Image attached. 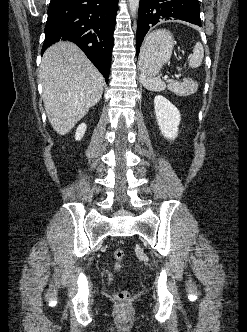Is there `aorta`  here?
Masks as SVG:
<instances>
[{"mask_svg": "<svg viewBox=\"0 0 247 332\" xmlns=\"http://www.w3.org/2000/svg\"><path fill=\"white\" fill-rule=\"evenodd\" d=\"M140 0H128L129 10L132 16H135L139 8Z\"/></svg>", "mask_w": 247, "mask_h": 332, "instance_id": "obj_1", "label": "aorta"}]
</instances>
